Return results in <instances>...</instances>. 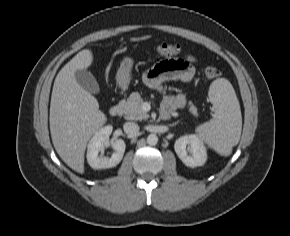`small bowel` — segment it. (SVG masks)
Wrapping results in <instances>:
<instances>
[{
	"mask_svg": "<svg viewBox=\"0 0 290 236\" xmlns=\"http://www.w3.org/2000/svg\"><path fill=\"white\" fill-rule=\"evenodd\" d=\"M193 63L194 58L192 57L164 60L143 74L144 85L163 94L161 115L164 119L167 118L166 113L184 108L187 103L186 95L183 92L172 94L166 90L165 83L171 80L191 82L195 77Z\"/></svg>",
	"mask_w": 290,
	"mask_h": 236,
	"instance_id": "obj_1",
	"label": "small bowel"
}]
</instances>
